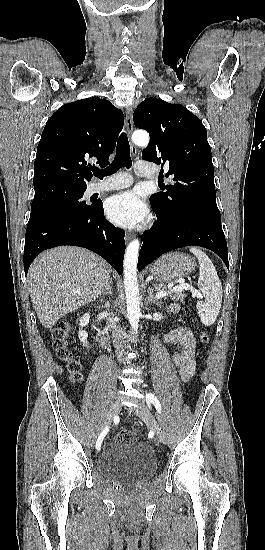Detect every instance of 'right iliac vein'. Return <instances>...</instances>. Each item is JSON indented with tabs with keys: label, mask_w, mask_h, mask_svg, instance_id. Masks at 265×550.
<instances>
[{
	"label": "right iliac vein",
	"mask_w": 265,
	"mask_h": 550,
	"mask_svg": "<svg viewBox=\"0 0 265 550\" xmlns=\"http://www.w3.org/2000/svg\"><path fill=\"white\" fill-rule=\"evenodd\" d=\"M121 410V403L120 401H115L111 406H110V409L108 411V414H107V417L104 421V423L99 427L95 437H94V440L96 441L98 439V437L100 436V434L102 433V431L108 426L111 424L113 418L120 412Z\"/></svg>",
	"instance_id": "1"
}]
</instances>
